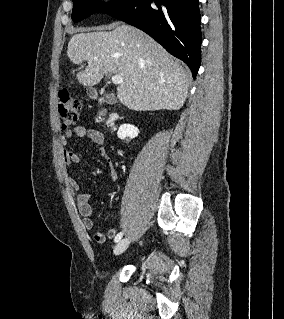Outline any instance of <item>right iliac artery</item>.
<instances>
[{
  "instance_id": "obj_1",
  "label": "right iliac artery",
  "mask_w": 284,
  "mask_h": 319,
  "mask_svg": "<svg viewBox=\"0 0 284 319\" xmlns=\"http://www.w3.org/2000/svg\"><path fill=\"white\" fill-rule=\"evenodd\" d=\"M122 236H123V233H122V232L118 233V234L116 235L115 239H114V242H119V241L121 240Z\"/></svg>"
}]
</instances>
